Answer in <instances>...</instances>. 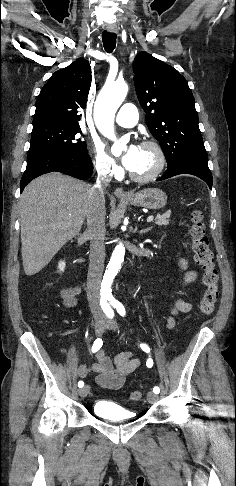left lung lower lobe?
Segmentation results:
<instances>
[{"label":"left lung lower lobe","mask_w":236,"mask_h":486,"mask_svg":"<svg viewBox=\"0 0 236 486\" xmlns=\"http://www.w3.org/2000/svg\"><path fill=\"white\" fill-rule=\"evenodd\" d=\"M179 174H191L204 180L210 189H212V174L208 168V164L197 162H179L169 166L166 172L157 179V181L164 180Z\"/></svg>","instance_id":"obj_1"}]
</instances>
